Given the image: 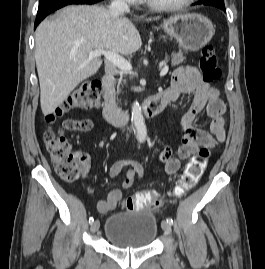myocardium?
<instances>
[{"instance_id":"1","label":"myocardium","mask_w":265,"mask_h":269,"mask_svg":"<svg viewBox=\"0 0 265 269\" xmlns=\"http://www.w3.org/2000/svg\"><path fill=\"white\" fill-rule=\"evenodd\" d=\"M147 6L157 10H181L188 7L194 0H182L175 3H160L154 0H142Z\"/></svg>"}]
</instances>
